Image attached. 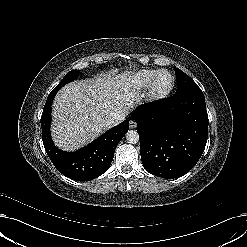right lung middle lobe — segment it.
<instances>
[{
    "instance_id": "1",
    "label": "right lung middle lobe",
    "mask_w": 247,
    "mask_h": 247,
    "mask_svg": "<svg viewBox=\"0 0 247 247\" xmlns=\"http://www.w3.org/2000/svg\"><path fill=\"white\" fill-rule=\"evenodd\" d=\"M79 71L78 70H73L68 72L64 78L61 80V82L54 88L55 90H59L60 88H62L65 84L73 81L76 79V77L78 76Z\"/></svg>"
}]
</instances>
